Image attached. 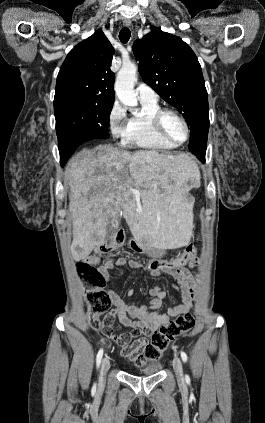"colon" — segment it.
<instances>
[{"label":"colon","instance_id":"1","mask_svg":"<svg viewBox=\"0 0 265 423\" xmlns=\"http://www.w3.org/2000/svg\"><path fill=\"white\" fill-rule=\"evenodd\" d=\"M125 240V231L118 229L107 242L96 247L88 257L78 261L76 264L77 274L86 288L90 324L94 329L101 330L108 337L113 335V316L110 312L111 299L109 294L103 289L105 280L95 265L102 260L108 259L110 253L121 247ZM195 256L196 246L190 244L182 255L170 260L153 258L148 261L147 266L152 272L177 271L191 262ZM102 315L103 318L101 319L100 316ZM194 324V316L191 313H185L158 328L152 334L151 341L143 345L144 359L149 361L158 359L171 341L188 333Z\"/></svg>","mask_w":265,"mask_h":423}]
</instances>
